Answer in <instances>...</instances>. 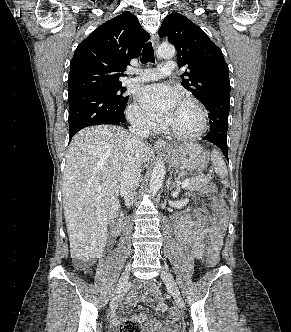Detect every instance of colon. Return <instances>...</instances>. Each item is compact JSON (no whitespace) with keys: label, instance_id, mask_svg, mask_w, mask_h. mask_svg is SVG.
I'll return each instance as SVG.
<instances>
[{"label":"colon","instance_id":"5ec220e1","mask_svg":"<svg viewBox=\"0 0 291 332\" xmlns=\"http://www.w3.org/2000/svg\"><path fill=\"white\" fill-rule=\"evenodd\" d=\"M204 193L212 198L213 208L216 212L217 219L220 225H225L227 221L226 206L222 199L217 198V189L214 184L208 183L203 189ZM208 263L211 266H216L219 262V254L217 249L212 248L208 255ZM121 332H142V325L137 320L128 319L121 325Z\"/></svg>","mask_w":291,"mask_h":332}]
</instances>
